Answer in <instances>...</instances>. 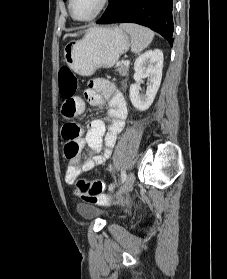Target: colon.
<instances>
[{"mask_svg": "<svg viewBox=\"0 0 227 279\" xmlns=\"http://www.w3.org/2000/svg\"><path fill=\"white\" fill-rule=\"evenodd\" d=\"M60 92L64 99L62 106V115L67 118H73L77 114L78 104L76 102V94L78 91V81L74 73L69 68H61L59 70ZM63 138L65 139L64 154L67 158L73 159L79 154V145L75 139L79 134V127L66 124L63 127ZM75 192L78 197L86 202L103 203L107 201V195L104 193L103 181L96 179L86 181L79 179L75 183Z\"/></svg>", "mask_w": 227, "mask_h": 279, "instance_id": "5ec220e1", "label": "colon"}]
</instances>
